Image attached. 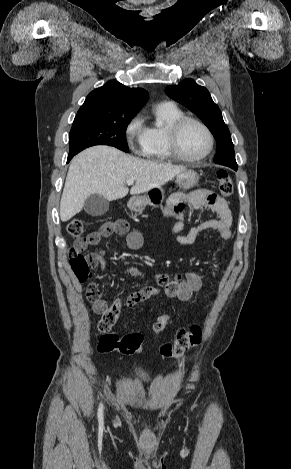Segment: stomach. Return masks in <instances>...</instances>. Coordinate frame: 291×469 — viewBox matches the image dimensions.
<instances>
[{"label": "stomach", "mask_w": 291, "mask_h": 469, "mask_svg": "<svg viewBox=\"0 0 291 469\" xmlns=\"http://www.w3.org/2000/svg\"><path fill=\"white\" fill-rule=\"evenodd\" d=\"M199 179L198 174L194 170H185L176 176V184L180 189L188 190L195 186ZM165 198L163 188L153 187L144 195L133 196L128 203L130 210L134 212H142L147 205L157 207L160 206Z\"/></svg>", "instance_id": "stomach-1"}]
</instances>
